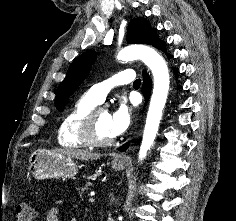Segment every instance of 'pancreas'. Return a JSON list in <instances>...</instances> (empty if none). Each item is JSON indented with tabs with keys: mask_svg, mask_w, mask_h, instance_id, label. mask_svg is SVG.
<instances>
[{
	"mask_svg": "<svg viewBox=\"0 0 236 221\" xmlns=\"http://www.w3.org/2000/svg\"><path fill=\"white\" fill-rule=\"evenodd\" d=\"M86 189H87L86 187H81L79 193L82 194Z\"/></svg>",
	"mask_w": 236,
	"mask_h": 221,
	"instance_id": "cf45deb5",
	"label": "pancreas"
}]
</instances>
